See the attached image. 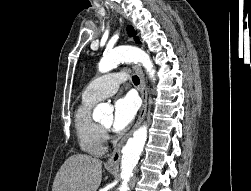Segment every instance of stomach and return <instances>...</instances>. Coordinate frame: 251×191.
<instances>
[{"instance_id":"0dacf381","label":"stomach","mask_w":251,"mask_h":191,"mask_svg":"<svg viewBox=\"0 0 251 191\" xmlns=\"http://www.w3.org/2000/svg\"><path fill=\"white\" fill-rule=\"evenodd\" d=\"M107 169H110V171H113L114 167H110V165H106Z\"/></svg>"}]
</instances>
